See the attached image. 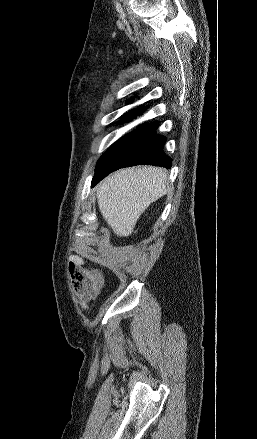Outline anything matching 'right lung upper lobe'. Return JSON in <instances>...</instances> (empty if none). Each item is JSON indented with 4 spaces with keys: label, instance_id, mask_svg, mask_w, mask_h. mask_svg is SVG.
<instances>
[{
    "label": "right lung upper lobe",
    "instance_id": "obj_1",
    "mask_svg": "<svg viewBox=\"0 0 257 439\" xmlns=\"http://www.w3.org/2000/svg\"><path fill=\"white\" fill-rule=\"evenodd\" d=\"M130 102H132V99L130 100ZM146 107H138L132 111H130L129 113H127L122 120L125 121H130L134 118H136L138 115L142 114L145 111Z\"/></svg>",
    "mask_w": 257,
    "mask_h": 439
}]
</instances>
